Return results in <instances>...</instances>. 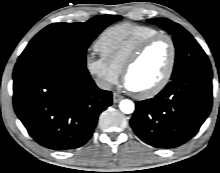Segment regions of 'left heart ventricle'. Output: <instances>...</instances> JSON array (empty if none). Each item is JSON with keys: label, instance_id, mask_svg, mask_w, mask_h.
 I'll return each instance as SVG.
<instances>
[{"label": "left heart ventricle", "instance_id": "1", "mask_svg": "<svg viewBox=\"0 0 220 173\" xmlns=\"http://www.w3.org/2000/svg\"><path fill=\"white\" fill-rule=\"evenodd\" d=\"M170 60V45L166 39H160L150 45L141 58L131 68L126 85L134 91H145L163 77Z\"/></svg>", "mask_w": 220, "mask_h": 173}]
</instances>
